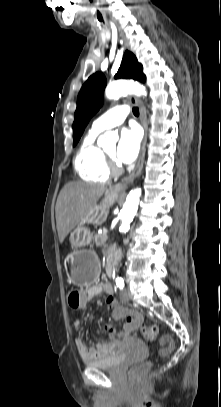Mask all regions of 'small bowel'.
<instances>
[{
	"instance_id": "c3829d8e",
	"label": "small bowel",
	"mask_w": 221,
	"mask_h": 407,
	"mask_svg": "<svg viewBox=\"0 0 221 407\" xmlns=\"http://www.w3.org/2000/svg\"><path fill=\"white\" fill-rule=\"evenodd\" d=\"M89 289L88 294L86 295V304L90 302L92 299L97 297L101 292L105 291L109 295L106 299L107 305L112 309L116 305H121L116 298L112 295V287L108 282H92L86 285ZM85 304V305H86ZM82 324V320L76 319L74 321V327L78 328ZM105 330L108 332L110 337L112 338L111 342H103L99 344L97 347L89 348L84 340L81 337H77L75 339L76 348L80 358L84 361L95 360L103 358L113 352L117 346L119 345V340L115 338L117 331L111 324H105ZM125 330V333L133 332L134 330Z\"/></svg>"
}]
</instances>
